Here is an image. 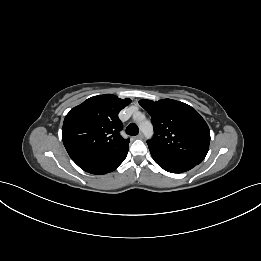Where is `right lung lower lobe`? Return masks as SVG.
<instances>
[{
	"mask_svg": "<svg viewBox=\"0 0 261 261\" xmlns=\"http://www.w3.org/2000/svg\"><path fill=\"white\" fill-rule=\"evenodd\" d=\"M128 149L116 155H90L73 161L84 171L101 175L114 171L126 158Z\"/></svg>",
	"mask_w": 261,
	"mask_h": 261,
	"instance_id": "98d812e1",
	"label": "right lung lower lobe"
}]
</instances>
